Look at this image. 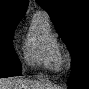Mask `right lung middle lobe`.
<instances>
[{"mask_svg":"<svg viewBox=\"0 0 89 89\" xmlns=\"http://www.w3.org/2000/svg\"><path fill=\"white\" fill-rule=\"evenodd\" d=\"M19 20L0 17V78L19 76L21 64L12 45L14 29Z\"/></svg>","mask_w":89,"mask_h":89,"instance_id":"right-lung-middle-lobe-1","label":"right lung middle lobe"}]
</instances>
